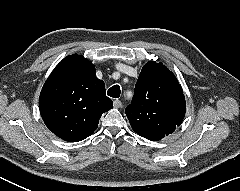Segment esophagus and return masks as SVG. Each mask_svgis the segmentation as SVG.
<instances>
[{
    "label": "esophagus",
    "instance_id": "esophagus-1",
    "mask_svg": "<svg viewBox=\"0 0 240 191\" xmlns=\"http://www.w3.org/2000/svg\"><path fill=\"white\" fill-rule=\"evenodd\" d=\"M113 106H114L115 108H120V107L122 106V102H121L120 100L116 99V100H114V102H113Z\"/></svg>",
    "mask_w": 240,
    "mask_h": 191
}]
</instances>
